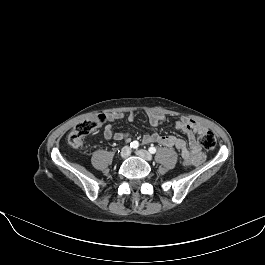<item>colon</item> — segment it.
<instances>
[{"mask_svg":"<svg viewBox=\"0 0 265 265\" xmlns=\"http://www.w3.org/2000/svg\"><path fill=\"white\" fill-rule=\"evenodd\" d=\"M107 120L105 114H98L80 124H78L68 135V143L72 147H81L84 137L101 126ZM198 142L206 150H214L217 146V139L213 132L205 130L197 134Z\"/></svg>","mask_w":265,"mask_h":265,"instance_id":"1","label":"colon"}]
</instances>
